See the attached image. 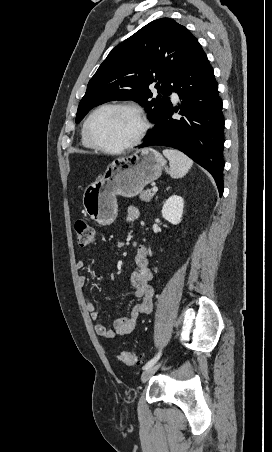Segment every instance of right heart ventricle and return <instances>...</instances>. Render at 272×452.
<instances>
[{
  "instance_id": "right-heart-ventricle-1",
  "label": "right heart ventricle",
  "mask_w": 272,
  "mask_h": 452,
  "mask_svg": "<svg viewBox=\"0 0 272 452\" xmlns=\"http://www.w3.org/2000/svg\"><path fill=\"white\" fill-rule=\"evenodd\" d=\"M83 128H84V125H83ZM83 128H82V131H81V144H82V146L85 147V148H87V149H91V150L95 149V148L87 141V139H86V137H85V134H84V129H83Z\"/></svg>"
}]
</instances>
